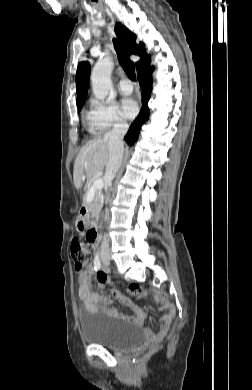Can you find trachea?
<instances>
[{
	"instance_id": "trachea-1",
	"label": "trachea",
	"mask_w": 252,
	"mask_h": 390,
	"mask_svg": "<svg viewBox=\"0 0 252 390\" xmlns=\"http://www.w3.org/2000/svg\"><path fill=\"white\" fill-rule=\"evenodd\" d=\"M113 42H114V48L116 50L120 65L122 66L123 70L126 72L128 77L133 81H135L136 79L135 65L130 60L128 52L126 51L124 46L121 43H119L117 40L114 39Z\"/></svg>"
}]
</instances>
